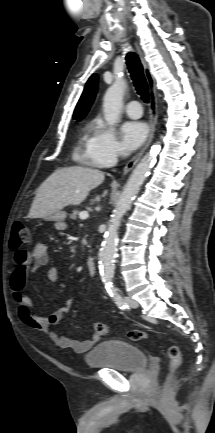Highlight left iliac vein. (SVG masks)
<instances>
[{
	"mask_svg": "<svg viewBox=\"0 0 215 433\" xmlns=\"http://www.w3.org/2000/svg\"><path fill=\"white\" fill-rule=\"evenodd\" d=\"M125 303L131 307L132 309H137L138 308V302L135 301L134 299H132L131 297H125L124 298Z\"/></svg>",
	"mask_w": 215,
	"mask_h": 433,
	"instance_id": "4c4485c4",
	"label": "left iliac vein"
}]
</instances>
